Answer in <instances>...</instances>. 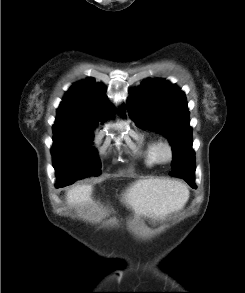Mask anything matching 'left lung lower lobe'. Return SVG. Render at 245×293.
<instances>
[{"label":"left lung lower lobe","mask_w":245,"mask_h":293,"mask_svg":"<svg viewBox=\"0 0 245 293\" xmlns=\"http://www.w3.org/2000/svg\"><path fill=\"white\" fill-rule=\"evenodd\" d=\"M180 178L184 179L192 188H196L195 176L183 174Z\"/></svg>","instance_id":"0a47b994"}]
</instances>
